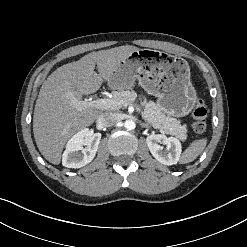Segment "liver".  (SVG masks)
I'll return each mask as SVG.
<instances>
[{
  "instance_id": "6515ba94",
  "label": "liver",
  "mask_w": 247,
  "mask_h": 247,
  "mask_svg": "<svg viewBox=\"0 0 247 247\" xmlns=\"http://www.w3.org/2000/svg\"><path fill=\"white\" fill-rule=\"evenodd\" d=\"M137 50L138 47L125 45L91 52L59 67L44 81L34 108L33 133L47 161L58 165L66 142L102 114L95 108L76 107L71 98L81 100L83 95L99 90L120 63Z\"/></svg>"
}]
</instances>
